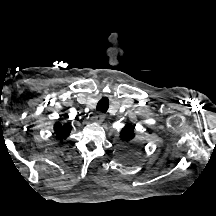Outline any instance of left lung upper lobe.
Here are the masks:
<instances>
[{
  "label": "left lung upper lobe",
  "instance_id": "obj_1",
  "mask_svg": "<svg viewBox=\"0 0 216 216\" xmlns=\"http://www.w3.org/2000/svg\"><path fill=\"white\" fill-rule=\"evenodd\" d=\"M135 126L128 123L120 131V139L122 140L124 152L121 154L126 161H132L139 150L142 148L141 144L135 141Z\"/></svg>",
  "mask_w": 216,
  "mask_h": 216
}]
</instances>
